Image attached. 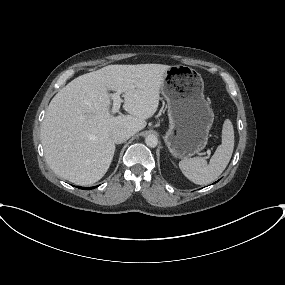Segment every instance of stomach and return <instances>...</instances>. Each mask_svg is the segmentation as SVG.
Masks as SVG:
<instances>
[{"label":"stomach","instance_id":"1","mask_svg":"<svg viewBox=\"0 0 285 285\" xmlns=\"http://www.w3.org/2000/svg\"><path fill=\"white\" fill-rule=\"evenodd\" d=\"M203 90L201 75L189 67L170 66L163 76L161 92L169 117L164 142L175 158L187 159L207 145L214 114Z\"/></svg>","mask_w":285,"mask_h":285}]
</instances>
